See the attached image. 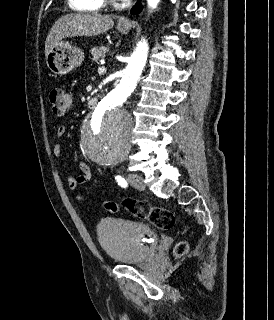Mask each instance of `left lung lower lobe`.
Masks as SVG:
<instances>
[{
    "label": "left lung lower lobe",
    "mask_w": 274,
    "mask_h": 320,
    "mask_svg": "<svg viewBox=\"0 0 274 320\" xmlns=\"http://www.w3.org/2000/svg\"><path fill=\"white\" fill-rule=\"evenodd\" d=\"M142 10L141 2H137L131 9V14H139Z\"/></svg>",
    "instance_id": "left-lung-lower-lobe-1"
}]
</instances>
